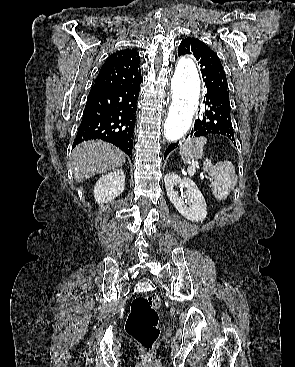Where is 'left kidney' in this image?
<instances>
[{
    "instance_id": "obj_1",
    "label": "left kidney",
    "mask_w": 295,
    "mask_h": 367,
    "mask_svg": "<svg viewBox=\"0 0 295 367\" xmlns=\"http://www.w3.org/2000/svg\"><path fill=\"white\" fill-rule=\"evenodd\" d=\"M167 196L173 203L179 213L192 222H202L206 218V202L196 186L189 178L181 179L177 174L171 172L164 177ZM179 186L182 190L186 189L184 194L178 196L175 187Z\"/></svg>"
}]
</instances>
